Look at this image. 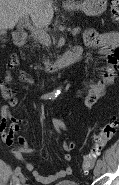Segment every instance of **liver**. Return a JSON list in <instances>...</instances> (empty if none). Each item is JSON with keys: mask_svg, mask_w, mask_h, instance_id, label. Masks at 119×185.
Instances as JSON below:
<instances>
[{"mask_svg": "<svg viewBox=\"0 0 119 185\" xmlns=\"http://www.w3.org/2000/svg\"><path fill=\"white\" fill-rule=\"evenodd\" d=\"M24 15H30L37 28L49 26L54 15L52 0H0V29H13Z\"/></svg>", "mask_w": 119, "mask_h": 185, "instance_id": "6515ba94", "label": "liver"}]
</instances>
